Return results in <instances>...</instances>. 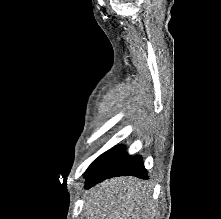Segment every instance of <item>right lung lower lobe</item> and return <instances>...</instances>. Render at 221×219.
<instances>
[{
	"instance_id": "1",
	"label": "right lung lower lobe",
	"mask_w": 221,
	"mask_h": 219,
	"mask_svg": "<svg viewBox=\"0 0 221 219\" xmlns=\"http://www.w3.org/2000/svg\"><path fill=\"white\" fill-rule=\"evenodd\" d=\"M121 175H132L148 179V172L144 168L140 156L131 157L125 153V147L116 146L98 157L86 171L85 188Z\"/></svg>"
}]
</instances>
